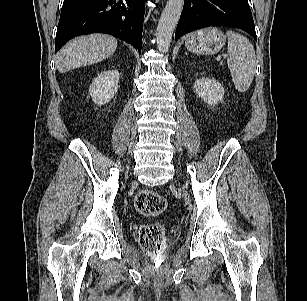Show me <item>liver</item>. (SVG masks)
I'll return each mask as SVG.
<instances>
[{
    "instance_id": "1",
    "label": "liver",
    "mask_w": 307,
    "mask_h": 301,
    "mask_svg": "<svg viewBox=\"0 0 307 301\" xmlns=\"http://www.w3.org/2000/svg\"><path fill=\"white\" fill-rule=\"evenodd\" d=\"M117 40L106 34H91L68 42L58 53L56 66L60 73L98 63L110 57Z\"/></svg>"
}]
</instances>
